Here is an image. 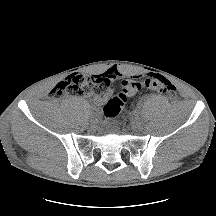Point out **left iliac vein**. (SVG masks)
<instances>
[{"label": "left iliac vein", "instance_id": "left-iliac-vein-1", "mask_svg": "<svg viewBox=\"0 0 216 216\" xmlns=\"http://www.w3.org/2000/svg\"><path fill=\"white\" fill-rule=\"evenodd\" d=\"M131 126L133 129H138L142 126V120L140 117H135L133 120H132V123H131Z\"/></svg>", "mask_w": 216, "mask_h": 216}]
</instances>
